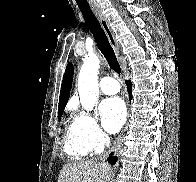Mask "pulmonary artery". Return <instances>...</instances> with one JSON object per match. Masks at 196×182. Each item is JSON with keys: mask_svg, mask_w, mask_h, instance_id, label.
I'll use <instances>...</instances> for the list:
<instances>
[{"mask_svg": "<svg viewBox=\"0 0 196 182\" xmlns=\"http://www.w3.org/2000/svg\"><path fill=\"white\" fill-rule=\"evenodd\" d=\"M100 89L107 95L116 94L120 90L118 81L112 76H106L100 81Z\"/></svg>", "mask_w": 196, "mask_h": 182, "instance_id": "pulmonary-artery-1", "label": "pulmonary artery"}]
</instances>
